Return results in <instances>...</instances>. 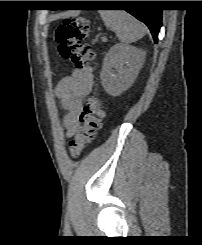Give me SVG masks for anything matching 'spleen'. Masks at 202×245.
<instances>
[{"label":"spleen","instance_id":"3e777b00","mask_svg":"<svg viewBox=\"0 0 202 245\" xmlns=\"http://www.w3.org/2000/svg\"><path fill=\"white\" fill-rule=\"evenodd\" d=\"M99 13L105 26L115 31L122 43L135 42L146 34L145 26L125 11L102 10Z\"/></svg>","mask_w":202,"mask_h":245}]
</instances>
